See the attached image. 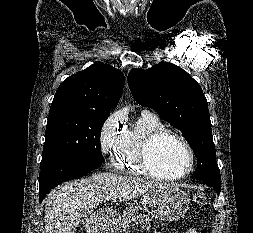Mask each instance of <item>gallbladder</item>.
Segmentation results:
<instances>
[{
    "label": "gallbladder",
    "instance_id": "bac80fb5",
    "mask_svg": "<svg viewBox=\"0 0 253 233\" xmlns=\"http://www.w3.org/2000/svg\"><path fill=\"white\" fill-rule=\"evenodd\" d=\"M87 222V219H83L82 221H80L81 224H85Z\"/></svg>",
    "mask_w": 253,
    "mask_h": 233
}]
</instances>
